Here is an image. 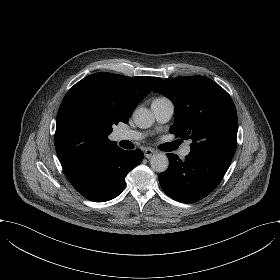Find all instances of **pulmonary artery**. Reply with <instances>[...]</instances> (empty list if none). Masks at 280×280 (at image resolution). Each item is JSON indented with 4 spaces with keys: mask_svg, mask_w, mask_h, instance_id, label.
<instances>
[{
    "mask_svg": "<svg viewBox=\"0 0 280 280\" xmlns=\"http://www.w3.org/2000/svg\"><path fill=\"white\" fill-rule=\"evenodd\" d=\"M151 110L154 118L159 123L168 122L174 114V104L165 97L155 98L151 103ZM143 138V134L134 130L120 131V140L135 141Z\"/></svg>",
    "mask_w": 280,
    "mask_h": 280,
    "instance_id": "pulmonary-artery-1",
    "label": "pulmonary artery"
}]
</instances>
